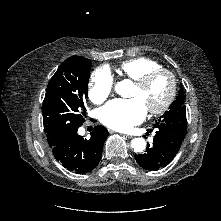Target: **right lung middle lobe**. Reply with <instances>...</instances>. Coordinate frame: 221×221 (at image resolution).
Segmentation results:
<instances>
[{
    "label": "right lung middle lobe",
    "instance_id": "right-lung-middle-lobe-1",
    "mask_svg": "<svg viewBox=\"0 0 221 221\" xmlns=\"http://www.w3.org/2000/svg\"><path fill=\"white\" fill-rule=\"evenodd\" d=\"M91 61L71 56L50 79L43 101V125L48 143L76 130L84 122Z\"/></svg>",
    "mask_w": 221,
    "mask_h": 221
}]
</instances>
